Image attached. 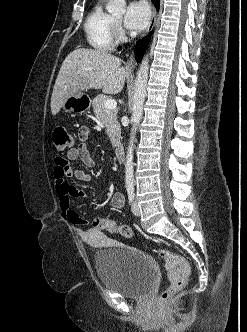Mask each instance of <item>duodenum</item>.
<instances>
[{
    "label": "duodenum",
    "instance_id": "obj_1",
    "mask_svg": "<svg viewBox=\"0 0 247 332\" xmlns=\"http://www.w3.org/2000/svg\"><path fill=\"white\" fill-rule=\"evenodd\" d=\"M115 155L119 161H123L125 158L124 148L122 146L118 145L115 148Z\"/></svg>",
    "mask_w": 247,
    "mask_h": 332
}]
</instances>
